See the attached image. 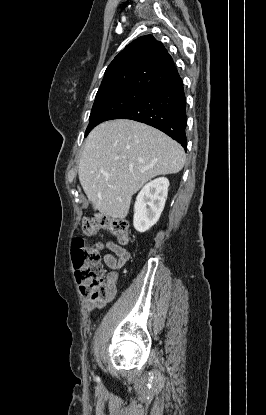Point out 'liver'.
<instances>
[{"mask_svg":"<svg viewBox=\"0 0 266 415\" xmlns=\"http://www.w3.org/2000/svg\"><path fill=\"white\" fill-rule=\"evenodd\" d=\"M185 160L181 145L161 131L116 119L91 131L81 153L78 176L94 210L124 219L133 194L158 175L178 173Z\"/></svg>","mask_w":266,"mask_h":415,"instance_id":"obj_1","label":"liver"}]
</instances>
